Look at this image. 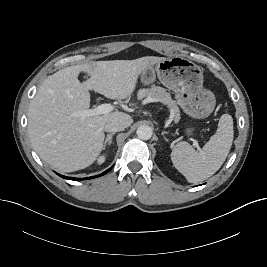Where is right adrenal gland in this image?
I'll use <instances>...</instances> for the list:
<instances>
[{
  "instance_id": "1",
  "label": "right adrenal gland",
  "mask_w": 267,
  "mask_h": 267,
  "mask_svg": "<svg viewBox=\"0 0 267 267\" xmlns=\"http://www.w3.org/2000/svg\"><path fill=\"white\" fill-rule=\"evenodd\" d=\"M114 134L115 133L113 132L107 135V138L105 139L104 144H103V149L106 148L107 144L110 145L112 143V137L114 136Z\"/></svg>"
}]
</instances>
